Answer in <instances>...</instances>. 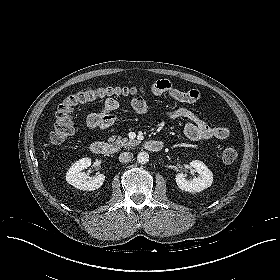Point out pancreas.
<instances>
[{
	"mask_svg": "<svg viewBox=\"0 0 280 280\" xmlns=\"http://www.w3.org/2000/svg\"><path fill=\"white\" fill-rule=\"evenodd\" d=\"M109 142H112L113 144H115L117 147H130V146H134L136 144H138L139 142L137 140H129L128 138L124 137H115L112 136L109 138L108 140Z\"/></svg>",
	"mask_w": 280,
	"mask_h": 280,
	"instance_id": "1",
	"label": "pancreas"
}]
</instances>
